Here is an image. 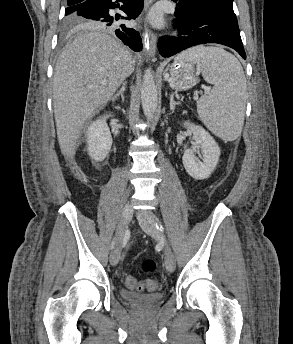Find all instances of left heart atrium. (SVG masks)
Segmentation results:
<instances>
[{
    "mask_svg": "<svg viewBox=\"0 0 293 344\" xmlns=\"http://www.w3.org/2000/svg\"><path fill=\"white\" fill-rule=\"evenodd\" d=\"M153 20H154L155 22H160L161 16H160L159 11H155V12L153 13Z\"/></svg>",
    "mask_w": 293,
    "mask_h": 344,
    "instance_id": "left-heart-atrium-1",
    "label": "left heart atrium"
}]
</instances>
